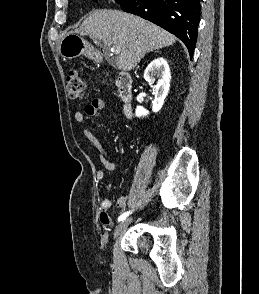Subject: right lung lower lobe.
Masks as SVG:
<instances>
[{"mask_svg": "<svg viewBox=\"0 0 259 294\" xmlns=\"http://www.w3.org/2000/svg\"><path fill=\"white\" fill-rule=\"evenodd\" d=\"M120 7L174 34L192 57L200 21V0H125Z\"/></svg>", "mask_w": 259, "mask_h": 294, "instance_id": "obj_1", "label": "right lung lower lobe"}]
</instances>
